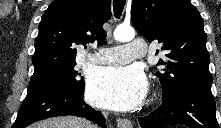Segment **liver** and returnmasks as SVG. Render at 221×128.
Segmentation results:
<instances>
[{"instance_id":"6515ba94","label":"liver","mask_w":221,"mask_h":128,"mask_svg":"<svg viewBox=\"0 0 221 128\" xmlns=\"http://www.w3.org/2000/svg\"><path fill=\"white\" fill-rule=\"evenodd\" d=\"M30 128H93V125L79 117L63 116L45 119L31 125Z\"/></svg>"}]
</instances>
